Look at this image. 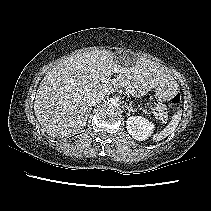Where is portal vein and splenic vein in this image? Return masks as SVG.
<instances>
[{
    "label": "portal vein and splenic vein",
    "instance_id": "18ae733b",
    "mask_svg": "<svg viewBox=\"0 0 211 211\" xmlns=\"http://www.w3.org/2000/svg\"><path fill=\"white\" fill-rule=\"evenodd\" d=\"M101 80L104 81L105 78H102ZM152 114H153L154 116H156V117L159 116V114H158L157 112H155V111H152Z\"/></svg>",
    "mask_w": 211,
    "mask_h": 211
}]
</instances>
